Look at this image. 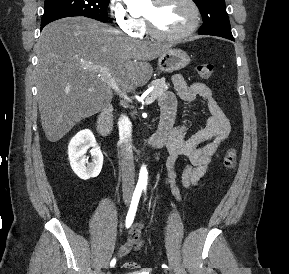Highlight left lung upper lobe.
<instances>
[{
	"mask_svg": "<svg viewBox=\"0 0 289 274\" xmlns=\"http://www.w3.org/2000/svg\"><path fill=\"white\" fill-rule=\"evenodd\" d=\"M198 6L204 24L199 29L200 35L233 37L225 0H193Z\"/></svg>",
	"mask_w": 289,
	"mask_h": 274,
	"instance_id": "5c2ea615",
	"label": "left lung upper lobe"
}]
</instances>
